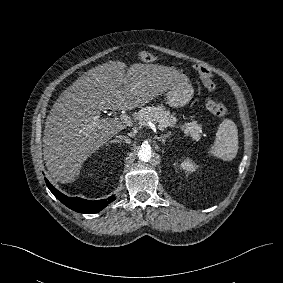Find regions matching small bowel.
Returning <instances> with one entry per match:
<instances>
[{
  "mask_svg": "<svg viewBox=\"0 0 283 283\" xmlns=\"http://www.w3.org/2000/svg\"><path fill=\"white\" fill-rule=\"evenodd\" d=\"M196 69L198 73L200 74L203 84L206 87V89L209 91H213L215 86L212 80V73L208 69L201 67V66H198Z\"/></svg>",
  "mask_w": 283,
  "mask_h": 283,
  "instance_id": "c3829d8e",
  "label": "small bowel"
}]
</instances>
